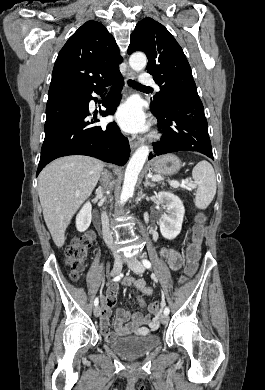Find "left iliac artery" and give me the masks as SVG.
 <instances>
[{"mask_svg":"<svg viewBox=\"0 0 265 390\" xmlns=\"http://www.w3.org/2000/svg\"><path fill=\"white\" fill-rule=\"evenodd\" d=\"M142 263H143V265H144L146 268H151V263H150L149 260L143 259V260H142ZM169 312H170L169 308L166 307V308L164 309V314L168 315Z\"/></svg>","mask_w":265,"mask_h":390,"instance_id":"1","label":"left iliac artery"}]
</instances>
